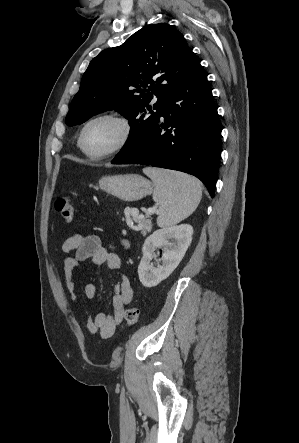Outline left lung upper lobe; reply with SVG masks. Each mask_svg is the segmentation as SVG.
<instances>
[{"instance_id":"left-lung-upper-lobe-1","label":"left lung upper lobe","mask_w":299,"mask_h":443,"mask_svg":"<svg viewBox=\"0 0 299 443\" xmlns=\"http://www.w3.org/2000/svg\"><path fill=\"white\" fill-rule=\"evenodd\" d=\"M198 63L183 35L173 26L147 25L90 62L65 123L74 126L107 110L120 112L131 126L120 154L154 124L168 93ZM155 96L158 100L152 107L149 103Z\"/></svg>"}]
</instances>
